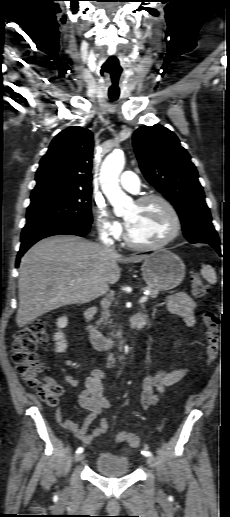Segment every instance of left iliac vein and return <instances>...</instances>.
<instances>
[{"label": "left iliac vein", "instance_id": "left-iliac-vein-1", "mask_svg": "<svg viewBox=\"0 0 230 517\" xmlns=\"http://www.w3.org/2000/svg\"><path fill=\"white\" fill-rule=\"evenodd\" d=\"M147 463L149 464L150 467L156 468V461L153 457H151V456L147 457Z\"/></svg>", "mask_w": 230, "mask_h": 517}]
</instances>
